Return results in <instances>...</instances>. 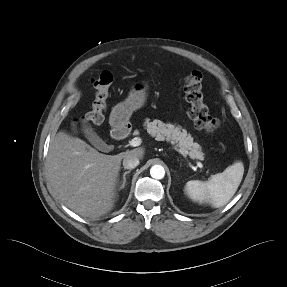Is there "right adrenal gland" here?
Wrapping results in <instances>:
<instances>
[{"instance_id":"1","label":"right adrenal gland","mask_w":287,"mask_h":287,"mask_svg":"<svg viewBox=\"0 0 287 287\" xmlns=\"http://www.w3.org/2000/svg\"><path fill=\"white\" fill-rule=\"evenodd\" d=\"M131 172V170H128V171H125L123 173V181H122V184L120 186V189L124 188L125 187V184H126V175L129 174Z\"/></svg>"}]
</instances>
